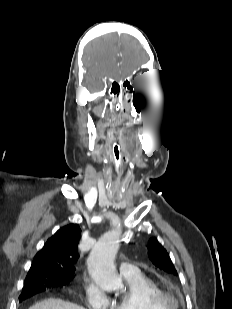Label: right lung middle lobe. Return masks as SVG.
<instances>
[{
    "instance_id": "1",
    "label": "right lung middle lobe",
    "mask_w": 232,
    "mask_h": 309,
    "mask_svg": "<svg viewBox=\"0 0 232 309\" xmlns=\"http://www.w3.org/2000/svg\"><path fill=\"white\" fill-rule=\"evenodd\" d=\"M70 281V277L47 272L27 275L19 302H22L31 296L44 291L46 288L56 285H66Z\"/></svg>"
}]
</instances>
